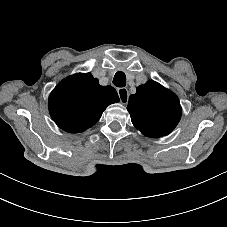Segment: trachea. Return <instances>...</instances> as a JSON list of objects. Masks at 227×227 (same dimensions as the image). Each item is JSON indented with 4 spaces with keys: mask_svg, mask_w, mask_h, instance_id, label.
<instances>
[{
    "mask_svg": "<svg viewBox=\"0 0 227 227\" xmlns=\"http://www.w3.org/2000/svg\"><path fill=\"white\" fill-rule=\"evenodd\" d=\"M113 84L117 87H125L126 85V75L122 71L116 72L113 78Z\"/></svg>",
    "mask_w": 227,
    "mask_h": 227,
    "instance_id": "obj_1",
    "label": "trachea"
}]
</instances>
